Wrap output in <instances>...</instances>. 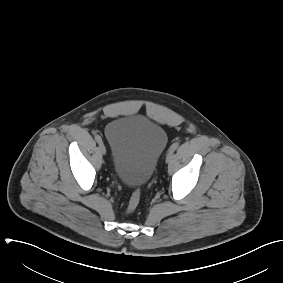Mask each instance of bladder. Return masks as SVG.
<instances>
[{"instance_id": "1", "label": "bladder", "mask_w": 283, "mask_h": 283, "mask_svg": "<svg viewBox=\"0 0 283 283\" xmlns=\"http://www.w3.org/2000/svg\"><path fill=\"white\" fill-rule=\"evenodd\" d=\"M105 135L117 178L128 186L146 184L168 143L164 128L144 116L134 115L111 121Z\"/></svg>"}]
</instances>
